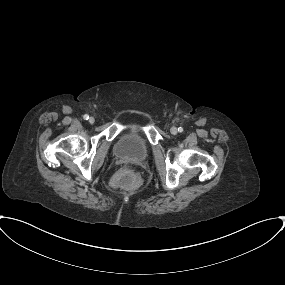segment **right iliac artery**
I'll return each instance as SVG.
<instances>
[{"instance_id": "1", "label": "right iliac artery", "mask_w": 285, "mask_h": 285, "mask_svg": "<svg viewBox=\"0 0 285 285\" xmlns=\"http://www.w3.org/2000/svg\"><path fill=\"white\" fill-rule=\"evenodd\" d=\"M83 118H84V120H88V119H89V115H88V114H85V115L83 116Z\"/></svg>"}]
</instances>
